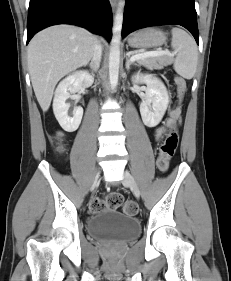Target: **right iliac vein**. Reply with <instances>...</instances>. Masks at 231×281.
I'll use <instances>...</instances> for the list:
<instances>
[{
  "mask_svg": "<svg viewBox=\"0 0 231 281\" xmlns=\"http://www.w3.org/2000/svg\"><path fill=\"white\" fill-rule=\"evenodd\" d=\"M99 175H100V171L98 170L97 173H96L95 180H94V185L98 182Z\"/></svg>",
  "mask_w": 231,
  "mask_h": 281,
  "instance_id": "1",
  "label": "right iliac vein"
}]
</instances>
